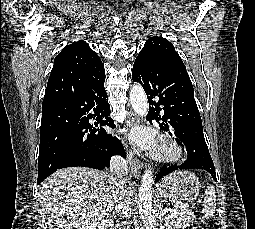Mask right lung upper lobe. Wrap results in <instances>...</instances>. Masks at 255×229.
Listing matches in <instances>:
<instances>
[{
    "label": "right lung upper lobe",
    "mask_w": 255,
    "mask_h": 229,
    "mask_svg": "<svg viewBox=\"0 0 255 229\" xmlns=\"http://www.w3.org/2000/svg\"><path fill=\"white\" fill-rule=\"evenodd\" d=\"M103 67L98 55L85 41L67 45L54 60L42 108L71 99L84 81Z\"/></svg>",
    "instance_id": "right-lung-upper-lobe-1"
}]
</instances>
